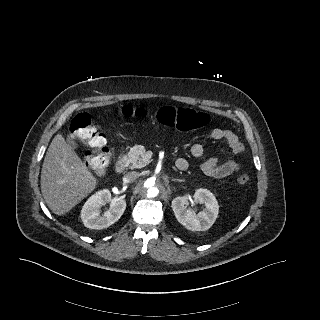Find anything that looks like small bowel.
Wrapping results in <instances>:
<instances>
[{
	"label": "small bowel",
	"mask_w": 320,
	"mask_h": 320,
	"mask_svg": "<svg viewBox=\"0 0 320 320\" xmlns=\"http://www.w3.org/2000/svg\"><path fill=\"white\" fill-rule=\"evenodd\" d=\"M210 136L214 140L225 141L229 146L232 154L235 156L241 155L244 151V145L239 140L238 136L230 130L214 128L211 131ZM191 153L195 157H201L204 153L203 146L199 143L193 144L191 146ZM201 168L206 175L219 179L228 177L238 172L241 169V163L235 159H231L221 163L219 161V158L213 157L206 160L202 164Z\"/></svg>",
	"instance_id": "small-bowel-1"
}]
</instances>
